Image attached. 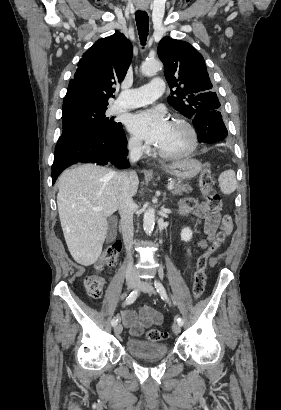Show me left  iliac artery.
Here are the masks:
<instances>
[{
    "label": "left iliac artery",
    "mask_w": 281,
    "mask_h": 410,
    "mask_svg": "<svg viewBox=\"0 0 281 410\" xmlns=\"http://www.w3.org/2000/svg\"><path fill=\"white\" fill-rule=\"evenodd\" d=\"M154 285H155L157 292L160 294L161 298L168 302L169 300H168L167 292L164 286L159 281H155ZM177 321L181 326L183 325V320L181 317H178Z\"/></svg>",
    "instance_id": "obj_1"
}]
</instances>
